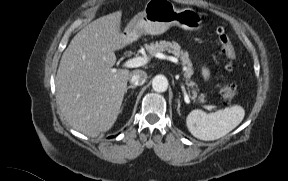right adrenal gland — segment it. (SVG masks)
Segmentation results:
<instances>
[{
	"instance_id": "1",
	"label": "right adrenal gland",
	"mask_w": 288,
	"mask_h": 181,
	"mask_svg": "<svg viewBox=\"0 0 288 181\" xmlns=\"http://www.w3.org/2000/svg\"><path fill=\"white\" fill-rule=\"evenodd\" d=\"M136 87H137V86H135V85H130V86L126 87L125 93H127V90H128V89H135Z\"/></svg>"
}]
</instances>
